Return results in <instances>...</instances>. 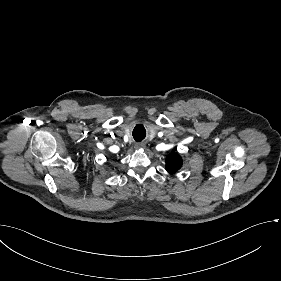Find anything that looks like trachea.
<instances>
[{
  "instance_id": "obj_1",
  "label": "trachea",
  "mask_w": 281,
  "mask_h": 281,
  "mask_svg": "<svg viewBox=\"0 0 281 281\" xmlns=\"http://www.w3.org/2000/svg\"><path fill=\"white\" fill-rule=\"evenodd\" d=\"M140 126L142 128L140 131H135V129L133 130V138L136 142L142 141L146 136V131L144 127L142 125Z\"/></svg>"
}]
</instances>
